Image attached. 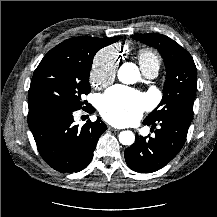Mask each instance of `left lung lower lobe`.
<instances>
[{"label": "left lung lower lobe", "instance_id": "1", "mask_svg": "<svg viewBox=\"0 0 217 217\" xmlns=\"http://www.w3.org/2000/svg\"><path fill=\"white\" fill-rule=\"evenodd\" d=\"M144 125H160L155 137H137L135 143L125 150L129 168L139 173L155 172L168 164L182 149L191 122L178 117H166L158 121L145 119Z\"/></svg>", "mask_w": 217, "mask_h": 217}]
</instances>
